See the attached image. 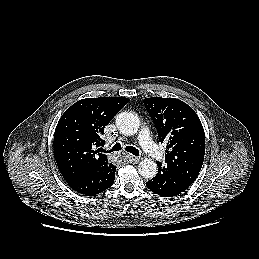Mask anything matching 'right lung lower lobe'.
I'll use <instances>...</instances> for the list:
<instances>
[{
    "mask_svg": "<svg viewBox=\"0 0 259 259\" xmlns=\"http://www.w3.org/2000/svg\"><path fill=\"white\" fill-rule=\"evenodd\" d=\"M116 167L108 163L98 169L88 171L67 181L76 192L85 196L99 194L108 189L114 182Z\"/></svg>",
    "mask_w": 259,
    "mask_h": 259,
    "instance_id": "1",
    "label": "right lung lower lobe"
}]
</instances>
